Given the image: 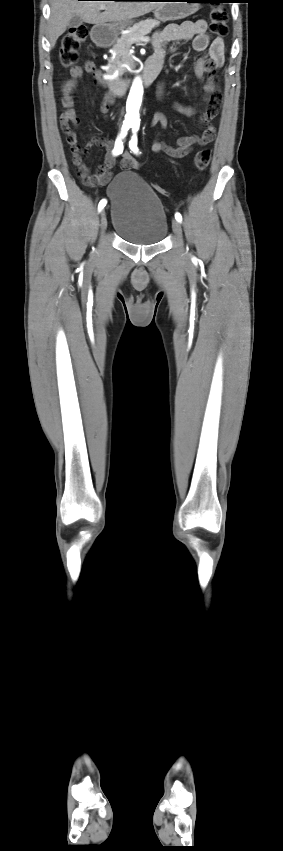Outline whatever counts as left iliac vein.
<instances>
[{
	"label": "left iliac vein",
	"instance_id": "1",
	"mask_svg": "<svg viewBox=\"0 0 283 851\" xmlns=\"http://www.w3.org/2000/svg\"><path fill=\"white\" fill-rule=\"evenodd\" d=\"M172 229H173V232L175 233V235L177 236V238L181 240L182 229H181L180 222H178L177 220H173L172 221Z\"/></svg>",
	"mask_w": 283,
	"mask_h": 851
}]
</instances>
